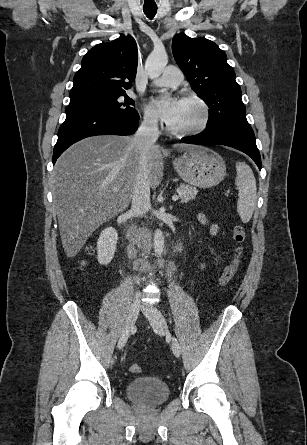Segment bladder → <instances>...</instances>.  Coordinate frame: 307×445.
Masks as SVG:
<instances>
[{
	"label": "bladder",
	"instance_id": "31cf9c89",
	"mask_svg": "<svg viewBox=\"0 0 307 445\" xmlns=\"http://www.w3.org/2000/svg\"><path fill=\"white\" fill-rule=\"evenodd\" d=\"M125 393L132 402L151 408L164 403L169 397L170 390L165 381L149 376L130 381L125 387Z\"/></svg>",
	"mask_w": 307,
	"mask_h": 445
}]
</instances>
